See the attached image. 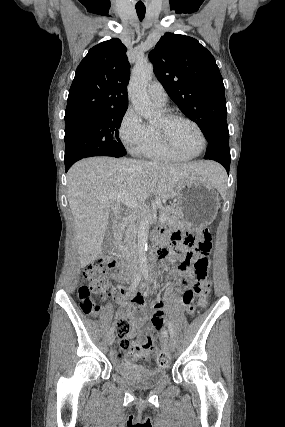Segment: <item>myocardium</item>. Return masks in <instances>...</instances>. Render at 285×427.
Returning <instances> with one entry per match:
<instances>
[{"mask_svg":"<svg viewBox=\"0 0 285 427\" xmlns=\"http://www.w3.org/2000/svg\"><path fill=\"white\" fill-rule=\"evenodd\" d=\"M161 116L163 118L164 124L162 126L155 125V128H156L162 142L169 149H171L172 151H174V152H176V153H178V154H180L186 158L197 157L204 151V149L206 148V145H207V139H206V136H205L202 128L200 127V125L196 121H194L193 119H191L189 117H186V116H183V115H180L177 113H171V112H164V113H162ZM175 121L187 122V123L191 124L192 126H194L195 129L198 131V133L201 137V140H202V146H201V149L197 153H194V154L186 153L185 151L181 150L178 147V145L174 142L172 135L169 131V126Z\"/></svg>","mask_w":285,"mask_h":427,"instance_id":"myocardium-1","label":"myocardium"}]
</instances>
